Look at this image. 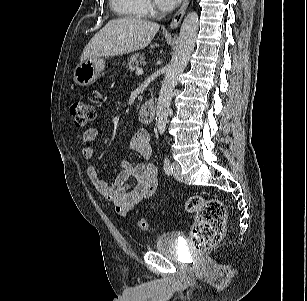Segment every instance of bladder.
I'll return each mask as SVG.
<instances>
[{
    "instance_id": "1",
    "label": "bladder",
    "mask_w": 307,
    "mask_h": 301,
    "mask_svg": "<svg viewBox=\"0 0 307 301\" xmlns=\"http://www.w3.org/2000/svg\"><path fill=\"white\" fill-rule=\"evenodd\" d=\"M178 237L176 232L162 234L155 239L152 249L168 257L176 258L180 251Z\"/></svg>"
}]
</instances>
